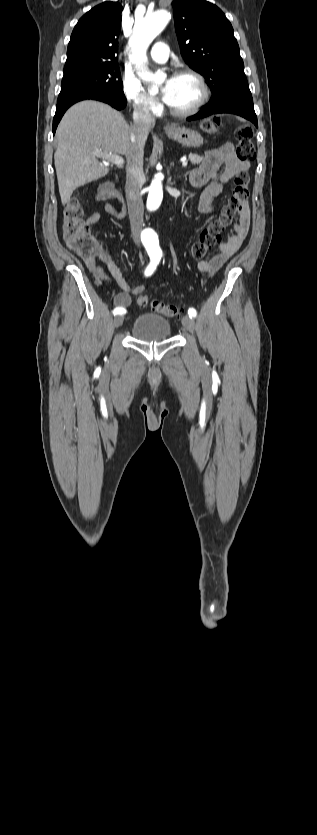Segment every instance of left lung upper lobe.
<instances>
[{
    "mask_svg": "<svg viewBox=\"0 0 317 835\" xmlns=\"http://www.w3.org/2000/svg\"><path fill=\"white\" fill-rule=\"evenodd\" d=\"M172 6L181 55L205 77L212 90L209 103L218 105L234 96L252 98L239 46L225 14L205 0H174Z\"/></svg>",
    "mask_w": 317,
    "mask_h": 835,
    "instance_id": "5c2ea615",
    "label": "left lung upper lobe"
}]
</instances>
